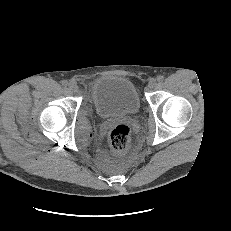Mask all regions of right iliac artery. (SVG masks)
<instances>
[{"label":"right iliac artery","instance_id":"1","mask_svg":"<svg viewBox=\"0 0 231 231\" xmlns=\"http://www.w3.org/2000/svg\"><path fill=\"white\" fill-rule=\"evenodd\" d=\"M61 83H62L63 86H67L68 85V81L67 80H63Z\"/></svg>","mask_w":231,"mask_h":231}]
</instances>
